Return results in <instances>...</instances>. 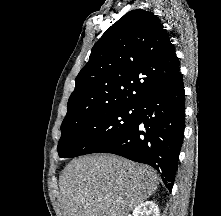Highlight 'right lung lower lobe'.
Wrapping results in <instances>:
<instances>
[{
	"label": "right lung lower lobe",
	"instance_id": "1",
	"mask_svg": "<svg viewBox=\"0 0 221 216\" xmlns=\"http://www.w3.org/2000/svg\"><path fill=\"white\" fill-rule=\"evenodd\" d=\"M184 98L179 71L137 105L135 123L100 152L151 165L171 191L185 128Z\"/></svg>",
	"mask_w": 221,
	"mask_h": 216
}]
</instances>
